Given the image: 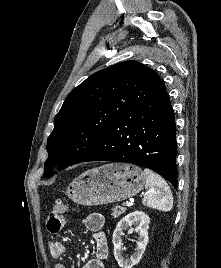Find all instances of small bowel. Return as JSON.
<instances>
[{
	"mask_svg": "<svg viewBox=\"0 0 221 268\" xmlns=\"http://www.w3.org/2000/svg\"><path fill=\"white\" fill-rule=\"evenodd\" d=\"M83 225L92 232L95 241V257L87 261L82 268H105V260L109 254V246L106 234L102 230L105 224V217L101 213H92L82 220ZM67 224V220L63 216L50 214L46 227L52 234L61 232ZM50 255L58 259L62 257L66 251L65 245L60 241H51L48 246ZM55 268H66L62 263H56Z\"/></svg>",
	"mask_w": 221,
	"mask_h": 268,
	"instance_id": "1",
	"label": "small bowel"
}]
</instances>
